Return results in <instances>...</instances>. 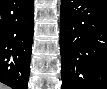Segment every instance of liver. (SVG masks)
<instances>
[{
  "instance_id": "obj_1",
  "label": "liver",
  "mask_w": 107,
  "mask_h": 89,
  "mask_svg": "<svg viewBox=\"0 0 107 89\" xmlns=\"http://www.w3.org/2000/svg\"><path fill=\"white\" fill-rule=\"evenodd\" d=\"M1 89H8V88H7L6 86H3V85H2V86H1Z\"/></svg>"
}]
</instances>
